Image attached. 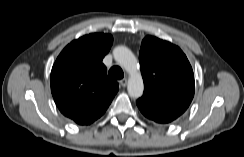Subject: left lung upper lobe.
I'll return each instance as SVG.
<instances>
[{
    "label": "left lung upper lobe",
    "mask_w": 244,
    "mask_h": 157,
    "mask_svg": "<svg viewBox=\"0 0 244 157\" xmlns=\"http://www.w3.org/2000/svg\"><path fill=\"white\" fill-rule=\"evenodd\" d=\"M139 61L144 93L136 101L138 108L157 123L172 122L186 111L194 96V74L186 55L170 42L146 36Z\"/></svg>",
    "instance_id": "left-lung-upper-lobe-1"
}]
</instances>
